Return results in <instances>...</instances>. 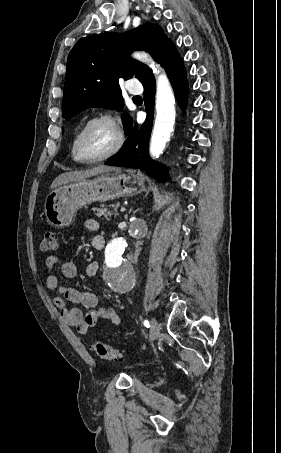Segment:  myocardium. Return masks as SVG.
Instances as JSON below:
<instances>
[{"label":"myocardium","mask_w":281,"mask_h":453,"mask_svg":"<svg viewBox=\"0 0 281 453\" xmlns=\"http://www.w3.org/2000/svg\"><path fill=\"white\" fill-rule=\"evenodd\" d=\"M98 123L107 124L115 130L116 142L104 153L94 156L92 158L83 159L79 155L80 142H81L84 134L86 133V131L91 126L98 124ZM124 142H125L124 131H123L122 127L116 122V120L113 117H111L110 115H97V116H94V117L88 119L87 121H85L83 123V125L79 128V130L77 131V133L74 137V140H73L72 151H73L74 158L78 162L83 163V164H92V163L104 161V160L116 155L123 147Z\"/></svg>","instance_id":"f54148a6"}]
</instances>
